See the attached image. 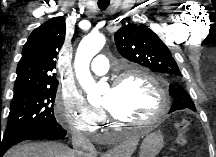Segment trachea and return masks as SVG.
Listing matches in <instances>:
<instances>
[{"label": "trachea", "mask_w": 216, "mask_h": 157, "mask_svg": "<svg viewBox=\"0 0 216 157\" xmlns=\"http://www.w3.org/2000/svg\"><path fill=\"white\" fill-rule=\"evenodd\" d=\"M109 1H98V7L100 10H105L109 6Z\"/></svg>", "instance_id": "1"}]
</instances>
